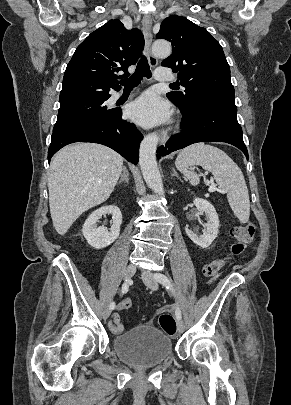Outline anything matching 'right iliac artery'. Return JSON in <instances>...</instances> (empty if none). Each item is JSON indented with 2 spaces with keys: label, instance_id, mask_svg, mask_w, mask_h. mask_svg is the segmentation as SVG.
I'll list each match as a JSON object with an SVG mask.
<instances>
[{
  "label": "right iliac artery",
  "instance_id": "1",
  "mask_svg": "<svg viewBox=\"0 0 291 405\" xmlns=\"http://www.w3.org/2000/svg\"><path fill=\"white\" fill-rule=\"evenodd\" d=\"M129 283H130V280H129V279L125 280V283L122 285V288H121V293H122V294H125V293L128 292ZM109 308H110L111 310H113V309L115 308V302H111L110 305H109Z\"/></svg>",
  "mask_w": 291,
  "mask_h": 405
}]
</instances>
